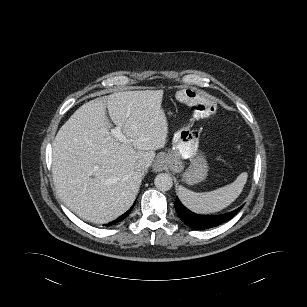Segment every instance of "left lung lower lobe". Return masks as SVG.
Returning <instances> with one entry per match:
<instances>
[{
    "mask_svg": "<svg viewBox=\"0 0 307 307\" xmlns=\"http://www.w3.org/2000/svg\"><path fill=\"white\" fill-rule=\"evenodd\" d=\"M174 205L178 216L183 220L184 223H186L189 227L193 229H200V230L218 226L232 219L243 207L240 206L236 210L223 215L205 216V215L195 214L189 211L181 204L178 198L176 199Z\"/></svg>",
    "mask_w": 307,
    "mask_h": 307,
    "instance_id": "0a47b994",
    "label": "left lung lower lobe"
}]
</instances>
